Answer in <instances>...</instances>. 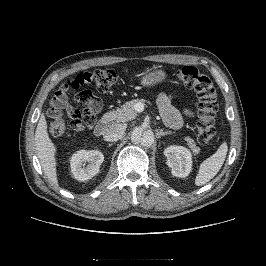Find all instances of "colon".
Instances as JSON below:
<instances>
[{
	"label": "colon",
	"mask_w": 266,
	"mask_h": 266,
	"mask_svg": "<svg viewBox=\"0 0 266 266\" xmlns=\"http://www.w3.org/2000/svg\"><path fill=\"white\" fill-rule=\"evenodd\" d=\"M175 77L180 86L192 89L199 95L197 139L203 145H213L217 138L214 121L218 103L216 89L211 78L194 66H184L177 69ZM117 79L116 72L108 68L81 72L67 79L51 102L54 120L50 124V133L54 136H60L67 127L76 130L92 127L97 113L101 110L102 100L84 87L89 83H94L100 91L107 92L116 84ZM72 91H77L74 96L77 106L71 108L67 115H63L59 109L65 103H69L68 95Z\"/></svg>",
	"instance_id": "obj_1"
}]
</instances>
